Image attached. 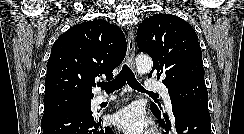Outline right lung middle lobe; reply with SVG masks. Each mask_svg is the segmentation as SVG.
Returning <instances> with one entry per match:
<instances>
[{
    "label": "right lung middle lobe",
    "mask_w": 244,
    "mask_h": 134,
    "mask_svg": "<svg viewBox=\"0 0 244 134\" xmlns=\"http://www.w3.org/2000/svg\"><path fill=\"white\" fill-rule=\"evenodd\" d=\"M91 100L75 97H58L44 101V115L42 121L52 114L66 111L69 109H84L91 112Z\"/></svg>",
    "instance_id": "dd1d6c3e"
}]
</instances>
